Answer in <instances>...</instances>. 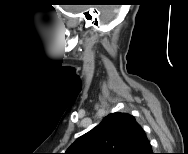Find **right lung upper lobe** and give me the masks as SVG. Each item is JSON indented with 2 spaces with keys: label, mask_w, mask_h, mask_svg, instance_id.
Masks as SVG:
<instances>
[{
  "label": "right lung upper lobe",
  "mask_w": 188,
  "mask_h": 154,
  "mask_svg": "<svg viewBox=\"0 0 188 154\" xmlns=\"http://www.w3.org/2000/svg\"><path fill=\"white\" fill-rule=\"evenodd\" d=\"M152 150L135 117L115 112L79 137L65 154H148Z\"/></svg>",
  "instance_id": "right-lung-upper-lobe-1"
}]
</instances>
